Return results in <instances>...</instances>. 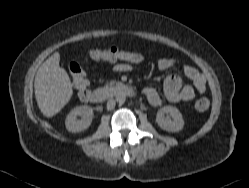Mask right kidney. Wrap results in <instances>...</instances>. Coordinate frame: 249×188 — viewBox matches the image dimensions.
Segmentation results:
<instances>
[{"label":"right kidney","instance_id":"1","mask_svg":"<svg viewBox=\"0 0 249 188\" xmlns=\"http://www.w3.org/2000/svg\"><path fill=\"white\" fill-rule=\"evenodd\" d=\"M81 116V119L77 117ZM93 119V109L83 105L75 107L66 117L65 125L69 132H81L89 128Z\"/></svg>","mask_w":249,"mask_h":188}]
</instances>
